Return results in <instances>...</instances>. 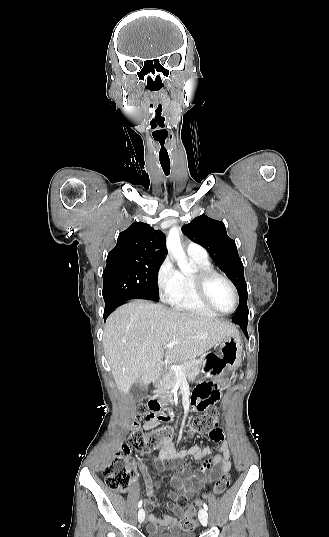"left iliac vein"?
Here are the masks:
<instances>
[{
	"instance_id": "left-iliac-vein-1",
	"label": "left iliac vein",
	"mask_w": 329,
	"mask_h": 537,
	"mask_svg": "<svg viewBox=\"0 0 329 537\" xmlns=\"http://www.w3.org/2000/svg\"><path fill=\"white\" fill-rule=\"evenodd\" d=\"M198 517H199V521L201 522V524L203 526H207V523H208V513L205 509H200L199 511V514H198Z\"/></svg>"
}]
</instances>
